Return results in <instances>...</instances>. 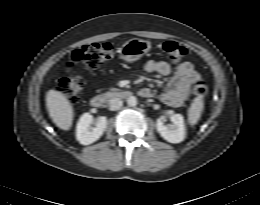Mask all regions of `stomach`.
Wrapping results in <instances>:
<instances>
[{"mask_svg":"<svg viewBox=\"0 0 260 205\" xmlns=\"http://www.w3.org/2000/svg\"><path fill=\"white\" fill-rule=\"evenodd\" d=\"M151 48L150 42L139 38L126 41L120 48V57L126 62L139 60Z\"/></svg>","mask_w":260,"mask_h":205,"instance_id":"0dacf381","label":"stomach"}]
</instances>
